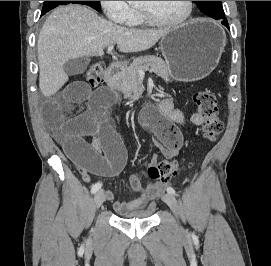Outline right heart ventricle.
I'll return each mask as SVG.
<instances>
[{
  "label": "right heart ventricle",
  "instance_id": "obj_1",
  "mask_svg": "<svg viewBox=\"0 0 271 266\" xmlns=\"http://www.w3.org/2000/svg\"><path fill=\"white\" fill-rule=\"evenodd\" d=\"M145 23H146V21L144 20V18L140 14L139 10H134V15H133L129 25L130 26H140V25H144Z\"/></svg>",
  "mask_w": 271,
  "mask_h": 266
}]
</instances>
